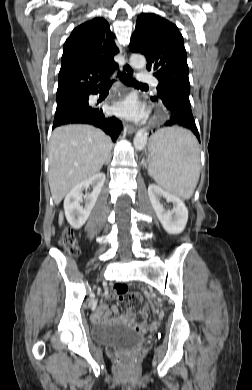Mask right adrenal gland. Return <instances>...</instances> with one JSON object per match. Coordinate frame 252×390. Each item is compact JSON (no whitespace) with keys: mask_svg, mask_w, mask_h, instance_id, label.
I'll list each match as a JSON object with an SVG mask.
<instances>
[{"mask_svg":"<svg viewBox=\"0 0 252 390\" xmlns=\"http://www.w3.org/2000/svg\"><path fill=\"white\" fill-rule=\"evenodd\" d=\"M109 161H110V158L107 160V162L105 164L107 165L109 163Z\"/></svg>","mask_w":252,"mask_h":390,"instance_id":"right-adrenal-gland-1","label":"right adrenal gland"}]
</instances>
